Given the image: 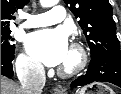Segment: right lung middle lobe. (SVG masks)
<instances>
[{
	"label": "right lung middle lobe",
	"mask_w": 121,
	"mask_h": 94,
	"mask_svg": "<svg viewBox=\"0 0 121 94\" xmlns=\"http://www.w3.org/2000/svg\"><path fill=\"white\" fill-rule=\"evenodd\" d=\"M10 29L1 30V53H14L15 45L11 44Z\"/></svg>",
	"instance_id": "1"
}]
</instances>
